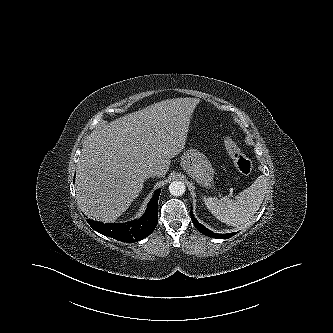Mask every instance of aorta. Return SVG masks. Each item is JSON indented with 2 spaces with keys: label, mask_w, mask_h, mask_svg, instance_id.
Here are the masks:
<instances>
[{
  "label": "aorta",
  "mask_w": 333,
  "mask_h": 333,
  "mask_svg": "<svg viewBox=\"0 0 333 333\" xmlns=\"http://www.w3.org/2000/svg\"><path fill=\"white\" fill-rule=\"evenodd\" d=\"M185 190H186V186L181 181H173L169 185V192L173 196H181L184 194Z\"/></svg>",
  "instance_id": "aorta-1"
}]
</instances>
